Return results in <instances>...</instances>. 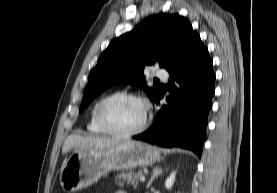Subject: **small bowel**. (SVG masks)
<instances>
[{
    "label": "small bowel",
    "instance_id": "obj_1",
    "mask_svg": "<svg viewBox=\"0 0 277 193\" xmlns=\"http://www.w3.org/2000/svg\"><path fill=\"white\" fill-rule=\"evenodd\" d=\"M115 193H127V192H125L123 190H119V191H116Z\"/></svg>",
    "mask_w": 277,
    "mask_h": 193
}]
</instances>
